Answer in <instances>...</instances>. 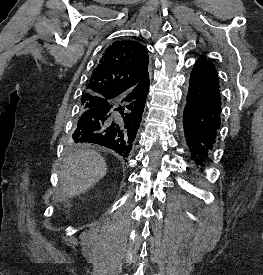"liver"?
Returning a JSON list of instances; mask_svg holds the SVG:
<instances>
[{
    "label": "liver",
    "instance_id": "obj_1",
    "mask_svg": "<svg viewBox=\"0 0 263 275\" xmlns=\"http://www.w3.org/2000/svg\"><path fill=\"white\" fill-rule=\"evenodd\" d=\"M107 173L104 158L93 150H81L69 156L61 166V199L86 192Z\"/></svg>",
    "mask_w": 263,
    "mask_h": 275
}]
</instances>
